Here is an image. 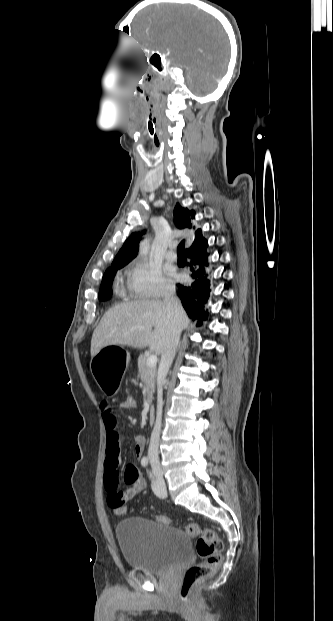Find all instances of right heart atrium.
<instances>
[{
    "mask_svg": "<svg viewBox=\"0 0 333 621\" xmlns=\"http://www.w3.org/2000/svg\"><path fill=\"white\" fill-rule=\"evenodd\" d=\"M128 285L131 294L142 299L161 298L174 291L172 282L163 275L161 269L145 260L134 263Z\"/></svg>",
    "mask_w": 333,
    "mask_h": 621,
    "instance_id": "1",
    "label": "right heart atrium"
}]
</instances>
